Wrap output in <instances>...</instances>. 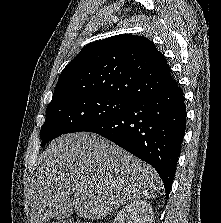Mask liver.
<instances>
[{"label":"liver","instance_id":"6515ba94","mask_svg":"<svg viewBox=\"0 0 221 223\" xmlns=\"http://www.w3.org/2000/svg\"><path fill=\"white\" fill-rule=\"evenodd\" d=\"M161 179L150 165L109 140L79 132L53 140L38 158L31 223L101 219L134 200L154 198Z\"/></svg>","mask_w":221,"mask_h":223}]
</instances>
